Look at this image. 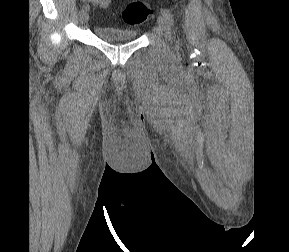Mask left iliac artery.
Returning a JSON list of instances; mask_svg holds the SVG:
<instances>
[{
	"instance_id": "1",
	"label": "left iliac artery",
	"mask_w": 289,
	"mask_h": 252,
	"mask_svg": "<svg viewBox=\"0 0 289 252\" xmlns=\"http://www.w3.org/2000/svg\"><path fill=\"white\" fill-rule=\"evenodd\" d=\"M161 13H162V15H164L167 18L169 24L171 26H174V16H173V14L168 9H161Z\"/></svg>"
}]
</instances>
